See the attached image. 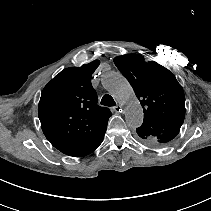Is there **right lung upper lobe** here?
Instances as JSON below:
<instances>
[{"mask_svg": "<svg viewBox=\"0 0 211 211\" xmlns=\"http://www.w3.org/2000/svg\"><path fill=\"white\" fill-rule=\"evenodd\" d=\"M99 63L95 60L67 68L44 87L38 115L43 133L54 147L98 134L112 115L108 108L97 105L91 84Z\"/></svg>", "mask_w": 211, "mask_h": 211, "instance_id": "obj_1", "label": "right lung upper lobe"}]
</instances>
